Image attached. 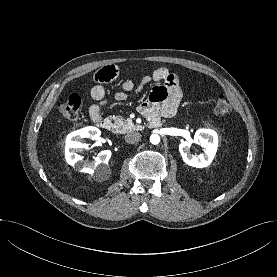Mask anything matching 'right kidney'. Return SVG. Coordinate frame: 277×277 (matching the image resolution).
<instances>
[{
  "mask_svg": "<svg viewBox=\"0 0 277 277\" xmlns=\"http://www.w3.org/2000/svg\"><path fill=\"white\" fill-rule=\"evenodd\" d=\"M100 135V130L92 126L70 133L66 138L65 145V158L67 163L84 173H92L100 164H107L111 157L110 150L101 151L97 157H94L91 163L83 161V157L77 154L87 147V145L82 143V139L90 138L96 140Z\"/></svg>",
  "mask_w": 277,
  "mask_h": 277,
  "instance_id": "right-kidney-1",
  "label": "right kidney"
}]
</instances>
